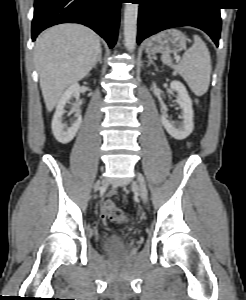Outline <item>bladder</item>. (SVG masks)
Returning a JSON list of instances; mask_svg holds the SVG:
<instances>
[{"label":"bladder","instance_id":"31cf9c89","mask_svg":"<svg viewBox=\"0 0 246 300\" xmlns=\"http://www.w3.org/2000/svg\"><path fill=\"white\" fill-rule=\"evenodd\" d=\"M128 242V235L126 234H111L106 236L102 245L104 249L110 254H117L122 251Z\"/></svg>","mask_w":246,"mask_h":300}]
</instances>
